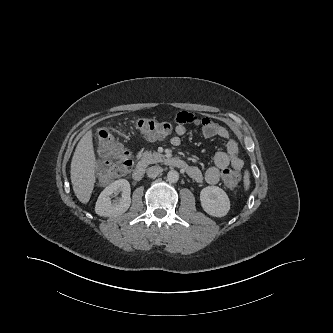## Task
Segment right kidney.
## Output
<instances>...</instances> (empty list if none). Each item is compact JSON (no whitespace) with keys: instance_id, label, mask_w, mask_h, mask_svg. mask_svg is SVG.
I'll use <instances>...</instances> for the list:
<instances>
[{"instance_id":"ca27d5eb","label":"right kidney","mask_w":333,"mask_h":333,"mask_svg":"<svg viewBox=\"0 0 333 333\" xmlns=\"http://www.w3.org/2000/svg\"><path fill=\"white\" fill-rule=\"evenodd\" d=\"M119 192H122V197L112 202L111 196ZM130 193V183L126 179L114 181L100 193L95 205L96 214L111 217L125 213L131 204Z\"/></svg>"}]
</instances>
